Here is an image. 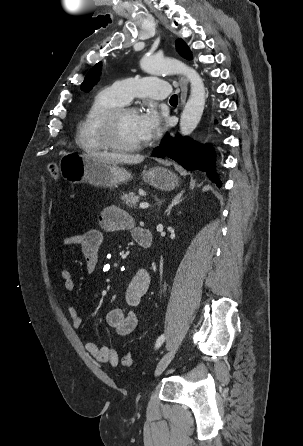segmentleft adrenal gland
Segmentation results:
<instances>
[{
  "label": "left adrenal gland",
  "mask_w": 303,
  "mask_h": 446,
  "mask_svg": "<svg viewBox=\"0 0 303 446\" xmlns=\"http://www.w3.org/2000/svg\"><path fill=\"white\" fill-rule=\"evenodd\" d=\"M183 193H184V190H182L181 192H179V193L172 199L171 203L169 204V206H168V208H167V210H166V212H165L166 215H169V214H170L171 209L173 208V206L179 204V203L184 199V198H182ZM162 202H163V200L158 202V207H159V208H160Z\"/></svg>",
  "instance_id": "1"
}]
</instances>
